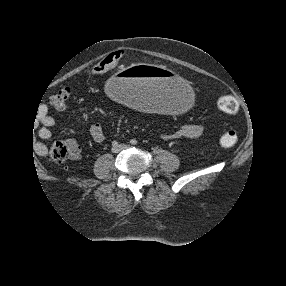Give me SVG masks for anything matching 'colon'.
<instances>
[{"mask_svg":"<svg viewBox=\"0 0 286 286\" xmlns=\"http://www.w3.org/2000/svg\"><path fill=\"white\" fill-rule=\"evenodd\" d=\"M121 52H114L107 55L90 69L92 75H105L112 73L119 66L122 59ZM71 97V89L63 87L48 99L51 106L56 109H63ZM218 108L227 114H236L239 111V103L232 96H223L218 100ZM238 134L233 130L225 131L219 139L220 145L224 148H232L238 143ZM50 157L56 162H64L72 157L68 146L63 142H55L49 150Z\"/></svg>","mask_w":286,"mask_h":286,"instance_id":"colon-1","label":"colon"}]
</instances>
